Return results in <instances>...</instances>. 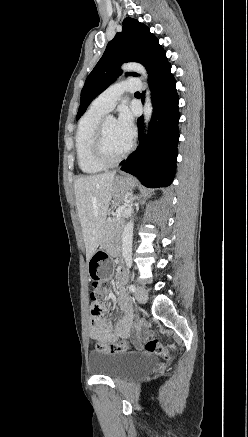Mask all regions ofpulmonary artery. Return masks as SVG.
<instances>
[{"mask_svg":"<svg viewBox=\"0 0 248 437\" xmlns=\"http://www.w3.org/2000/svg\"><path fill=\"white\" fill-rule=\"evenodd\" d=\"M141 89V80L137 77L128 78L119 81L100 95H98L92 102V106L104 112L111 111L121 96L126 92H136Z\"/></svg>","mask_w":248,"mask_h":437,"instance_id":"1","label":"pulmonary artery"}]
</instances>
